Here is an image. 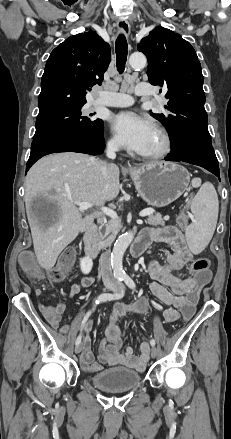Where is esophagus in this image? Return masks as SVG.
<instances>
[{
	"label": "esophagus",
	"mask_w": 231,
	"mask_h": 439,
	"mask_svg": "<svg viewBox=\"0 0 231 439\" xmlns=\"http://www.w3.org/2000/svg\"><path fill=\"white\" fill-rule=\"evenodd\" d=\"M117 28L119 32L123 33L126 37L130 35V24L126 19H119L117 21Z\"/></svg>",
	"instance_id": "34e87169"
}]
</instances>
